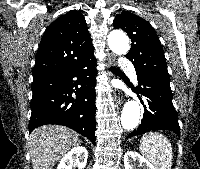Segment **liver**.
Returning <instances> with one entry per match:
<instances>
[{
  "label": "liver",
  "mask_w": 200,
  "mask_h": 169,
  "mask_svg": "<svg viewBox=\"0 0 200 169\" xmlns=\"http://www.w3.org/2000/svg\"><path fill=\"white\" fill-rule=\"evenodd\" d=\"M80 143L73 130L59 125L36 128L30 135V154L33 169H52L73 146Z\"/></svg>",
  "instance_id": "1"
}]
</instances>
